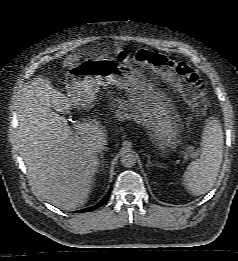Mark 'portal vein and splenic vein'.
Listing matches in <instances>:
<instances>
[{"label":"portal vein and splenic vein","mask_w":238,"mask_h":261,"mask_svg":"<svg viewBox=\"0 0 238 261\" xmlns=\"http://www.w3.org/2000/svg\"><path fill=\"white\" fill-rule=\"evenodd\" d=\"M75 129L79 134H86V133L94 131L96 129V126L89 122H82V123H78L76 125ZM183 155L185 157H188V156L193 157V158L196 157L195 153L187 154V153L183 152Z\"/></svg>","instance_id":"portal-vein-and-splenic-vein-1"}]
</instances>
